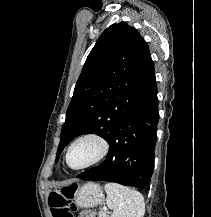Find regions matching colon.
<instances>
[{
	"instance_id": "obj_1",
	"label": "colon",
	"mask_w": 211,
	"mask_h": 217,
	"mask_svg": "<svg viewBox=\"0 0 211 217\" xmlns=\"http://www.w3.org/2000/svg\"><path fill=\"white\" fill-rule=\"evenodd\" d=\"M76 188V185H70L50 192L49 206L53 217H73L76 209L73 203ZM79 217H95V215L91 211H84Z\"/></svg>"
}]
</instances>
